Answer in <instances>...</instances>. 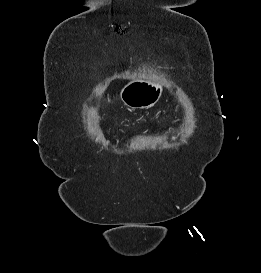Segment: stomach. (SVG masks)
Masks as SVG:
<instances>
[{"label": "stomach", "mask_w": 261, "mask_h": 273, "mask_svg": "<svg viewBox=\"0 0 261 273\" xmlns=\"http://www.w3.org/2000/svg\"><path fill=\"white\" fill-rule=\"evenodd\" d=\"M163 85L147 79H135L126 84L120 91L122 102L133 109H144L154 106L160 99Z\"/></svg>", "instance_id": "stomach-1"}]
</instances>
